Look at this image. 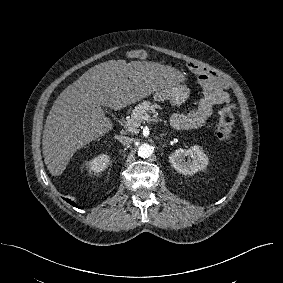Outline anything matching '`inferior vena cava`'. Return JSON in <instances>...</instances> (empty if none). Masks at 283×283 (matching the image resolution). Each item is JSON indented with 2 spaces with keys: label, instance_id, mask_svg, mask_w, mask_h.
Segmentation results:
<instances>
[{
  "label": "inferior vena cava",
  "instance_id": "602c4592",
  "mask_svg": "<svg viewBox=\"0 0 283 283\" xmlns=\"http://www.w3.org/2000/svg\"><path fill=\"white\" fill-rule=\"evenodd\" d=\"M117 139L123 145H130L132 143V139L127 136H117Z\"/></svg>",
  "mask_w": 283,
  "mask_h": 283
}]
</instances>
